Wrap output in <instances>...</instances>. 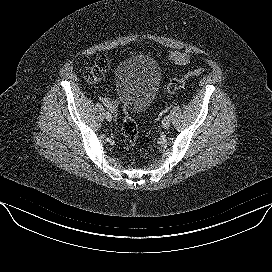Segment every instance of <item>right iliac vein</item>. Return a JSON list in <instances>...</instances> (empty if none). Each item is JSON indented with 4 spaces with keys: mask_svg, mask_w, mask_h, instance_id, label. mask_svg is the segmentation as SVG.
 I'll use <instances>...</instances> for the list:
<instances>
[{
    "mask_svg": "<svg viewBox=\"0 0 272 272\" xmlns=\"http://www.w3.org/2000/svg\"><path fill=\"white\" fill-rule=\"evenodd\" d=\"M105 118H106V120H107L108 122H111V121H112V115H111V114H110L109 117H106V116H105Z\"/></svg>",
    "mask_w": 272,
    "mask_h": 272,
    "instance_id": "63e3f726",
    "label": "right iliac vein"
}]
</instances>
